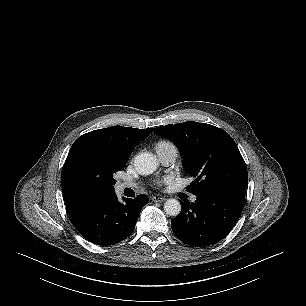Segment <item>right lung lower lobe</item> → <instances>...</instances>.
<instances>
[{
  "label": "right lung lower lobe",
  "instance_id": "98d812e1",
  "mask_svg": "<svg viewBox=\"0 0 306 306\" xmlns=\"http://www.w3.org/2000/svg\"><path fill=\"white\" fill-rule=\"evenodd\" d=\"M123 200L120 203L115 194L70 215V220L91 243L103 246L119 243L133 232L143 206L149 202L146 195Z\"/></svg>",
  "mask_w": 306,
  "mask_h": 306
}]
</instances>
